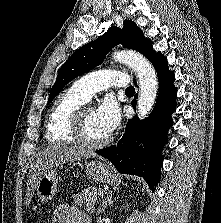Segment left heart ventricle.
Listing matches in <instances>:
<instances>
[{
  "mask_svg": "<svg viewBox=\"0 0 221 223\" xmlns=\"http://www.w3.org/2000/svg\"><path fill=\"white\" fill-rule=\"evenodd\" d=\"M85 136L90 141H100L108 136L98 121L96 111L92 108L85 110Z\"/></svg>",
  "mask_w": 221,
  "mask_h": 223,
  "instance_id": "1",
  "label": "left heart ventricle"
}]
</instances>
